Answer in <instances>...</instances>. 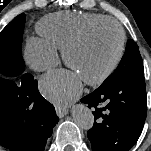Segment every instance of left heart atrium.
<instances>
[{"label": "left heart atrium", "mask_w": 151, "mask_h": 151, "mask_svg": "<svg viewBox=\"0 0 151 151\" xmlns=\"http://www.w3.org/2000/svg\"><path fill=\"white\" fill-rule=\"evenodd\" d=\"M40 88L50 101L63 107L80 94L82 80L72 71L56 70L41 78Z\"/></svg>", "instance_id": "obj_1"}]
</instances>
